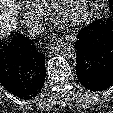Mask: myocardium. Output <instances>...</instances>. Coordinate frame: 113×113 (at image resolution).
I'll return each mask as SVG.
<instances>
[{"instance_id": "obj_1", "label": "myocardium", "mask_w": 113, "mask_h": 113, "mask_svg": "<svg viewBox=\"0 0 113 113\" xmlns=\"http://www.w3.org/2000/svg\"><path fill=\"white\" fill-rule=\"evenodd\" d=\"M90 0H56L53 10L56 20L65 26L83 23L88 16Z\"/></svg>"}]
</instances>
